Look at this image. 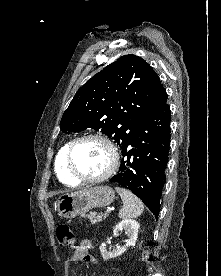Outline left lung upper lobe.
<instances>
[{
  "instance_id": "5c2ea615",
  "label": "left lung upper lobe",
  "mask_w": 221,
  "mask_h": 276,
  "mask_svg": "<svg viewBox=\"0 0 221 276\" xmlns=\"http://www.w3.org/2000/svg\"><path fill=\"white\" fill-rule=\"evenodd\" d=\"M167 103L159 77L142 58L125 55L89 79L64 112L60 129L101 130L123 148Z\"/></svg>"
}]
</instances>
